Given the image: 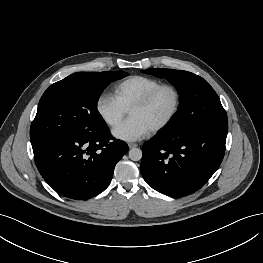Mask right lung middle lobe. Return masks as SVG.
Here are the masks:
<instances>
[{
  "mask_svg": "<svg viewBox=\"0 0 263 263\" xmlns=\"http://www.w3.org/2000/svg\"><path fill=\"white\" fill-rule=\"evenodd\" d=\"M124 71L77 72L52 84L42 95L30 128L32 148L70 134H85L106 123L97 110L103 90Z\"/></svg>",
  "mask_w": 263,
  "mask_h": 263,
  "instance_id": "right-lung-middle-lobe-1",
  "label": "right lung middle lobe"
}]
</instances>
